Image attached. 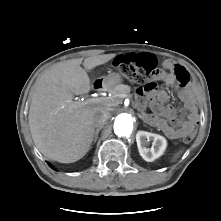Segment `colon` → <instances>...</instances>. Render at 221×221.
Wrapping results in <instances>:
<instances>
[{
	"mask_svg": "<svg viewBox=\"0 0 221 221\" xmlns=\"http://www.w3.org/2000/svg\"><path fill=\"white\" fill-rule=\"evenodd\" d=\"M116 68L131 82L144 83L146 90L154 88V80L160 75L155 57L148 53H142L134 60H130L127 56L119 57L116 59ZM175 83L179 88H183L186 85L185 81H177ZM194 135V128H189L183 133L182 139L185 142H190L193 140Z\"/></svg>",
	"mask_w": 221,
	"mask_h": 221,
	"instance_id": "colon-1",
	"label": "colon"
}]
</instances>
